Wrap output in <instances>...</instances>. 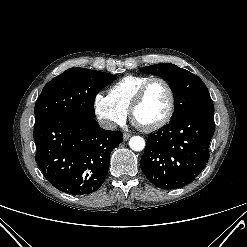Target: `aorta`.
<instances>
[{
	"label": "aorta",
	"instance_id": "obj_1",
	"mask_svg": "<svg viewBox=\"0 0 247 247\" xmlns=\"http://www.w3.org/2000/svg\"><path fill=\"white\" fill-rule=\"evenodd\" d=\"M129 146L134 151H141L145 147V141L140 136H134L130 138Z\"/></svg>",
	"mask_w": 247,
	"mask_h": 247
}]
</instances>
